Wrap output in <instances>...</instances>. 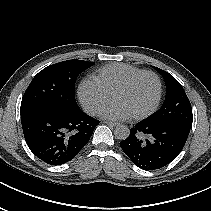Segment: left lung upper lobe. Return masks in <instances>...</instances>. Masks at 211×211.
Returning a JSON list of instances; mask_svg holds the SVG:
<instances>
[{"instance_id": "obj_1", "label": "left lung upper lobe", "mask_w": 211, "mask_h": 211, "mask_svg": "<svg viewBox=\"0 0 211 211\" xmlns=\"http://www.w3.org/2000/svg\"><path fill=\"white\" fill-rule=\"evenodd\" d=\"M166 83V98L162 107L145 119L151 123L179 126L190 132L192 126V108L182 85L168 72L154 67Z\"/></svg>"}]
</instances>
